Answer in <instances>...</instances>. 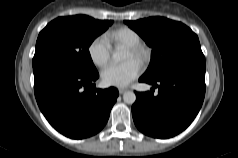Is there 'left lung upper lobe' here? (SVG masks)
<instances>
[{"label": "left lung upper lobe", "mask_w": 238, "mask_h": 158, "mask_svg": "<svg viewBox=\"0 0 238 158\" xmlns=\"http://www.w3.org/2000/svg\"><path fill=\"white\" fill-rule=\"evenodd\" d=\"M125 23L152 47L151 62L143 79L155 80L176 65L205 60L197 35L181 22L150 17Z\"/></svg>", "instance_id": "5c2ea615"}]
</instances>
